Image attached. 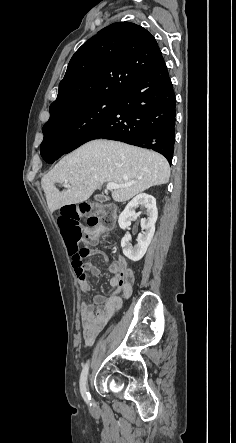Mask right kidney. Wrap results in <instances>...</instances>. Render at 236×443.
Masks as SVG:
<instances>
[{"label": "right kidney", "mask_w": 236, "mask_h": 443, "mask_svg": "<svg viewBox=\"0 0 236 443\" xmlns=\"http://www.w3.org/2000/svg\"><path fill=\"white\" fill-rule=\"evenodd\" d=\"M144 207L147 218L141 219L142 233L137 237V244L132 246L131 235L126 234L121 240L123 254L131 261H139L147 251V248L155 232V223L158 217L156 199L149 194L141 193L134 197L120 214L118 223L125 230L131 225V220L136 218V209Z\"/></svg>", "instance_id": "1"}]
</instances>
